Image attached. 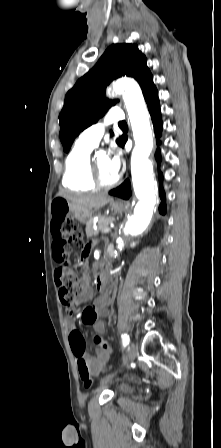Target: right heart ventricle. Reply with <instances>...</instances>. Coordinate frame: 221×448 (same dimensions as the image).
<instances>
[{"label": "right heart ventricle", "mask_w": 221, "mask_h": 448, "mask_svg": "<svg viewBox=\"0 0 221 448\" xmlns=\"http://www.w3.org/2000/svg\"><path fill=\"white\" fill-rule=\"evenodd\" d=\"M93 147L77 142L65 159L62 183L67 189L92 191L96 185L91 179L90 154Z\"/></svg>", "instance_id": "1"}]
</instances>
